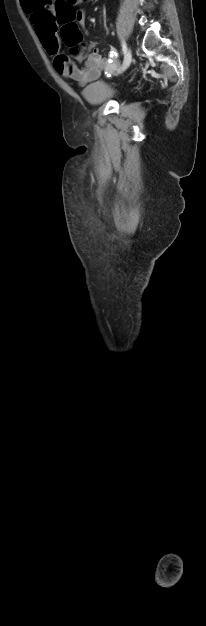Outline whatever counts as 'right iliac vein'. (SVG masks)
I'll return each mask as SVG.
<instances>
[{
	"label": "right iliac vein",
	"instance_id": "right-iliac-vein-1",
	"mask_svg": "<svg viewBox=\"0 0 206 626\" xmlns=\"http://www.w3.org/2000/svg\"><path fill=\"white\" fill-rule=\"evenodd\" d=\"M131 60H132V54H131L130 49H128L125 53L123 65L119 71L120 72L125 71L130 66Z\"/></svg>",
	"mask_w": 206,
	"mask_h": 626
}]
</instances>
